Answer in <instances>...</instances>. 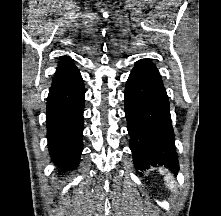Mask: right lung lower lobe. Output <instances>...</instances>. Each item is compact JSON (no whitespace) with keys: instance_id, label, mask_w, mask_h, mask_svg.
I'll return each mask as SVG.
<instances>
[{"instance_id":"right-lung-lower-lobe-1","label":"right lung lower lobe","mask_w":221,"mask_h":216,"mask_svg":"<svg viewBox=\"0 0 221 216\" xmlns=\"http://www.w3.org/2000/svg\"><path fill=\"white\" fill-rule=\"evenodd\" d=\"M83 79L79 70L55 78L46 109L48 148L53 162L63 170H73L83 150Z\"/></svg>"}]
</instances>
